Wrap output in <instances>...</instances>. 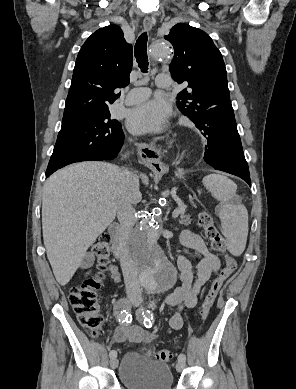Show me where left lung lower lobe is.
<instances>
[{"label":"left lung lower lobe","mask_w":296,"mask_h":389,"mask_svg":"<svg viewBox=\"0 0 296 389\" xmlns=\"http://www.w3.org/2000/svg\"><path fill=\"white\" fill-rule=\"evenodd\" d=\"M204 136L202 158L216 170L236 175L251 187L248 164L245 160L231 102L208 111L200 125Z\"/></svg>","instance_id":"0a47b994"}]
</instances>
